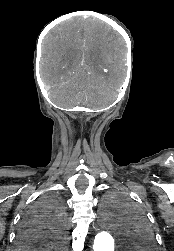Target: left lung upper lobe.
<instances>
[{
	"label": "left lung upper lobe",
	"instance_id": "1",
	"mask_svg": "<svg viewBox=\"0 0 174 251\" xmlns=\"http://www.w3.org/2000/svg\"><path fill=\"white\" fill-rule=\"evenodd\" d=\"M111 211L121 213L131 227L129 245L134 251H156L154 234L145 217L123 199H111ZM111 202V201H110Z\"/></svg>",
	"mask_w": 174,
	"mask_h": 251
}]
</instances>
